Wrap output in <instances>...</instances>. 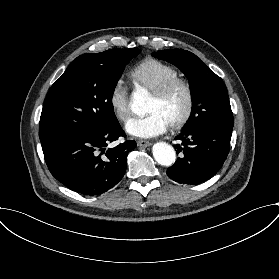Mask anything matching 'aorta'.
Segmentation results:
<instances>
[{
    "label": "aorta",
    "instance_id": "1",
    "mask_svg": "<svg viewBox=\"0 0 279 279\" xmlns=\"http://www.w3.org/2000/svg\"><path fill=\"white\" fill-rule=\"evenodd\" d=\"M146 102L147 98L143 93H135L130 103L131 110L137 115L145 114L147 111ZM152 152L155 160L162 166L169 167L176 160V153L174 148L165 142H158L154 144Z\"/></svg>",
    "mask_w": 279,
    "mask_h": 279
}]
</instances>
